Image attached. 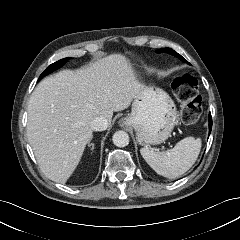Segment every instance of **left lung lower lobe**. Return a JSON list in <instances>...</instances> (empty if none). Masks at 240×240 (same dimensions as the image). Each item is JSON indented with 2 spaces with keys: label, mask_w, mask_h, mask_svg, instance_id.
Returning a JSON list of instances; mask_svg holds the SVG:
<instances>
[{
  "label": "left lung lower lobe",
  "mask_w": 240,
  "mask_h": 240,
  "mask_svg": "<svg viewBox=\"0 0 240 240\" xmlns=\"http://www.w3.org/2000/svg\"><path fill=\"white\" fill-rule=\"evenodd\" d=\"M212 129V118H211V114L209 115V133L211 132Z\"/></svg>",
  "instance_id": "obj_1"
}]
</instances>
